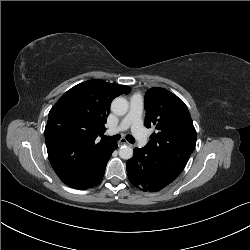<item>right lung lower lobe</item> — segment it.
<instances>
[{
    "mask_svg": "<svg viewBox=\"0 0 250 250\" xmlns=\"http://www.w3.org/2000/svg\"><path fill=\"white\" fill-rule=\"evenodd\" d=\"M117 147V144L115 143H112V145L109 147V149L107 150V152L105 153V156L103 158V161L99 167V170H98V174H97V177L96 179L94 180V182L88 187H93L95 185H97L98 183H100V181L102 180L103 178V175H104V172H105V168H106V165H107V162L108 160L110 159V156L112 154V152L114 151V149ZM87 189V188H86Z\"/></svg>",
    "mask_w": 250,
    "mask_h": 250,
    "instance_id": "obj_1",
    "label": "right lung lower lobe"
}]
</instances>
